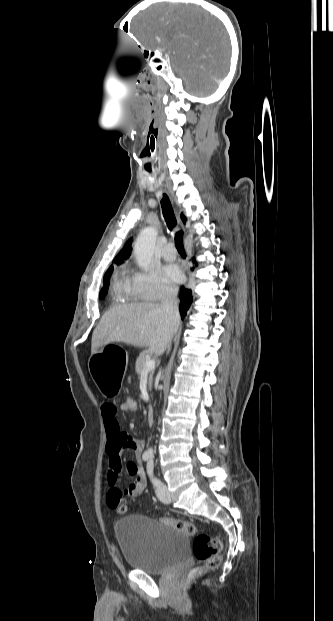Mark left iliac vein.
Masks as SVG:
<instances>
[{
  "label": "left iliac vein",
  "instance_id": "1",
  "mask_svg": "<svg viewBox=\"0 0 333 621\" xmlns=\"http://www.w3.org/2000/svg\"><path fill=\"white\" fill-rule=\"evenodd\" d=\"M157 497L163 503L169 504L171 502V497L167 486L164 483H161L159 487L156 489Z\"/></svg>",
  "mask_w": 333,
  "mask_h": 621
}]
</instances>
